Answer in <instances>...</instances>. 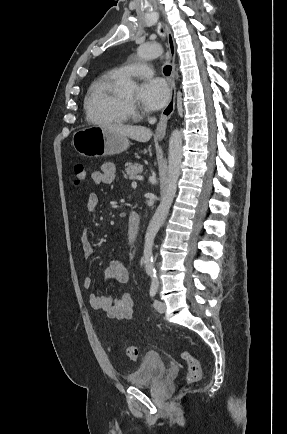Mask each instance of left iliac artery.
<instances>
[{"label":"left iliac artery","instance_id":"44dca946","mask_svg":"<svg viewBox=\"0 0 287 434\" xmlns=\"http://www.w3.org/2000/svg\"><path fill=\"white\" fill-rule=\"evenodd\" d=\"M149 275L151 276L152 283L150 287V296L154 297L157 293L159 281L156 272H150Z\"/></svg>","mask_w":287,"mask_h":434}]
</instances>
